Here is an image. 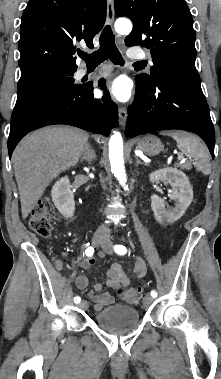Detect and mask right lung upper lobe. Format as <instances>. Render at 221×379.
Wrapping results in <instances>:
<instances>
[{"mask_svg": "<svg viewBox=\"0 0 221 379\" xmlns=\"http://www.w3.org/2000/svg\"><path fill=\"white\" fill-rule=\"evenodd\" d=\"M106 4L107 0H29L20 27L19 82L52 70L77 69L76 42L93 47L106 19Z\"/></svg>", "mask_w": 221, "mask_h": 379, "instance_id": "1", "label": "right lung upper lobe"}]
</instances>
